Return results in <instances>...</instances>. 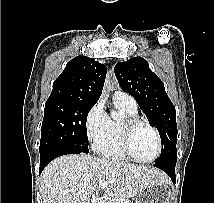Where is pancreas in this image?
<instances>
[{"label":"pancreas","instance_id":"pancreas-1","mask_svg":"<svg viewBox=\"0 0 214 203\" xmlns=\"http://www.w3.org/2000/svg\"><path fill=\"white\" fill-rule=\"evenodd\" d=\"M111 203H131L128 199L125 198H115Z\"/></svg>","mask_w":214,"mask_h":203}]
</instances>
